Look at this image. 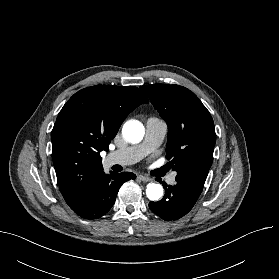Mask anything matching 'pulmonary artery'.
I'll return each instance as SVG.
<instances>
[{
    "label": "pulmonary artery",
    "instance_id": "obj_1",
    "mask_svg": "<svg viewBox=\"0 0 279 279\" xmlns=\"http://www.w3.org/2000/svg\"><path fill=\"white\" fill-rule=\"evenodd\" d=\"M167 129L165 121L156 117L149 118L146 121V133L143 142L111 152L108 154L106 162L119 165H130L138 162L162 143L167 134ZM175 179L176 173H172L168 177V182L174 184Z\"/></svg>",
    "mask_w": 279,
    "mask_h": 279
}]
</instances>
